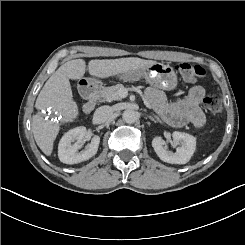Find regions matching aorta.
<instances>
[{
  "label": "aorta",
  "instance_id": "1",
  "mask_svg": "<svg viewBox=\"0 0 245 245\" xmlns=\"http://www.w3.org/2000/svg\"><path fill=\"white\" fill-rule=\"evenodd\" d=\"M122 118L124 122L128 124H132L136 122L138 116L137 113L133 110H125L122 114Z\"/></svg>",
  "mask_w": 245,
  "mask_h": 245
}]
</instances>
